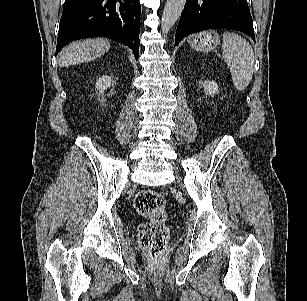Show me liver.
Here are the masks:
<instances>
[{"label":"liver","mask_w":307,"mask_h":301,"mask_svg":"<svg viewBox=\"0 0 307 301\" xmlns=\"http://www.w3.org/2000/svg\"><path fill=\"white\" fill-rule=\"evenodd\" d=\"M110 48V42L103 38L86 39L69 44L59 54L60 67L88 62L104 55Z\"/></svg>","instance_id":"obj_1"}]
</instances>
